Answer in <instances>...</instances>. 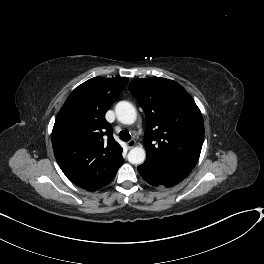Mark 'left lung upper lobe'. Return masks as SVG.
Returning a JSON list of instances; mask_svg holds the SVG:
<instances>
[{"label": "left lung upper lobe", "instance_id": "1", "mask_svg": "<svg viewBox=\"0 0 264 264\" xmlns=\"http://www.w3.org/2000/svg\"><path fill=\"white\" fill-rule=\"evenodd\" d=\"M129 90L146 114L144 163L187 177L204 140L203 117L194 100L177 82L159 77L135 79Z\"/></svg>", "mask_w": 264, "mask_h": 264}]
</instances>
